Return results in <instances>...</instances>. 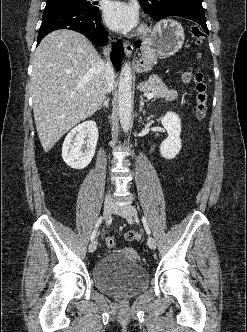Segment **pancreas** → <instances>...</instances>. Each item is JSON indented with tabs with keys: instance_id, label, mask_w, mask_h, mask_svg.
<instances>
[{
	"instance_id": "1",
	"label": "pancreas",
	"mask_w": 247,
	"mask_h": 332,
	"mask_svg": "<svg viewBox=\"0 0 247 332\" xmlns=\"http://www.w3.org/2000/svg\"><path fill=\"white\" fill-rule=\"evenodd\" d=\"M144 93H153L154 98H164L170 91L157 76H152L147 82L141 83L138 87Z\"/></svg>"
}]
</instances>
